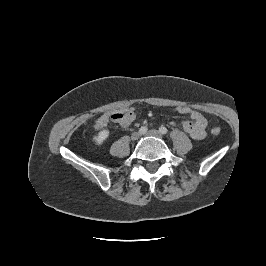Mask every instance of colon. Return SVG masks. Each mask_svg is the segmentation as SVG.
Returning <instances> with one entry per match:
<instances>
[{
    "label": "colon",
    "mask_w": 266,
    "mask_h": 266,
    "mask_svg": "<svg viewBox=\"0 0 266 266\" xmlns=\"http://www.w3.org/2000/svg\"><path fill=\"white\" fill-rule=\"evenodd\" d=\"M175 111L182 115H191L194 111L192 108L186 105H179L175 108ZM135 116V112L133 109H126L114 112L110 118L113 122L122 124ZM212 134L218 135L220 133V128L214 127L211 129Z\"/></svg>",
    "instance_id": "colon-1"
}]
</instances>
